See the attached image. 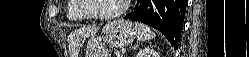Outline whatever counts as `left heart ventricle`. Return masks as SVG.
<instances>
[{
    "mask_svg": "<svg viewBox=\"0 0 249 57\" xmlns=\"http://www.w3.org/2000/svg\"><path fill=\"white\" fill-rule=\"evenodd\" d=\"M123 0H90L89 11L97 14H110L118 11Z\"/></svg>",
    "mask_w": 249,
    "mask_h": 57,
    "instance_id": "1",
    "label": "left heart ventricle"
}]
</instances>
